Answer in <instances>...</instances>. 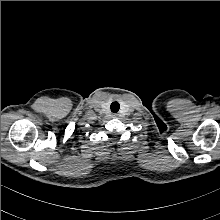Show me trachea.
<instances>
[{"mask_svg":"<svg viewBox=\"0 0 220 220\" xmlns=\"http://www.w3.org/2000/svg\"><path fill=\"white\" fill-rule=\"evenodd\" d=\"M110 109L113 113H117L120 109V104L118 102H112L111 103V106H110Z\"/></svg>","mask_w":220,"mask_h":220,"instance_id":"3493384b","label":"trachea"}]
</instances>
